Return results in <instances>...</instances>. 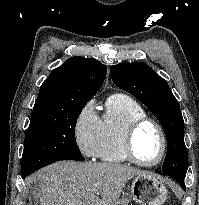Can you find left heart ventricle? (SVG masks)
Wrapping results in <instances>:
<instances>
[{"instance_id":"1","label":"left heart ventricle","mask_w":199,"mask_h":205,"mask_svg":"<svg viewBox=\"0 0 199 205\" xmlns=\"http://www.w3.org/2000/svg\"><path fill=\"white\" fill-rule=\"evenodd\" d=\"M161 138L157 129L150 125H144L136 133L134 149L137 157L144 162L157 160L161 153Z\"/></svg>"}]
</instances>
